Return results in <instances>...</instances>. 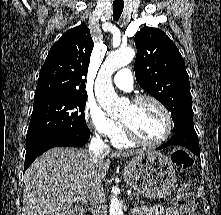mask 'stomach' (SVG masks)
I'll list each match as a JSON object with an SVG mask.
<instances>
[{
  "mask_svg": "<svg viewBox=\"0 0 221 215\" xmlns=\"http://www.w3.org/2000/svg\"><path fill=\"white\" fill-rule=\"evenodd\" d=\"M123 176L137 193L150 199L165 198L177 187L173 163L161 152L148 151L131 158Z\"/></svg>",
  "mask_w": 221,
  "mask_h": 215,
  "instance_id": "stomach-1",
  "label": "stomach"
}]
</instances>
